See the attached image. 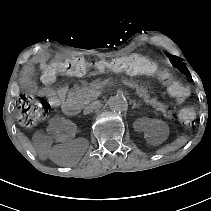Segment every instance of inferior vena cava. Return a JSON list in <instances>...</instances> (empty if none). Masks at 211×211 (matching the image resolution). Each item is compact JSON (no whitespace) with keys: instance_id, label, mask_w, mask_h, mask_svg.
I'll return each mask as SVG.
<instances>
[{"instance_id":"1","label":"inferior vena cava","mask_w":211,"mask_h":211,"mask_svg":"<svg viewBox=\"0 0 211 211\" xmlns=\"http://www.w3.org/2000/svg\"><path fill=\"white\" fill-rule=\"evenodd\" d=\"M96 108H97V104L95 102H92L91 104L87 105L84 108L83 113L84 114H89V113L93 112Z\"/></svg>"}]
</instances>
